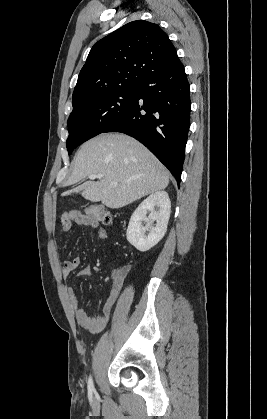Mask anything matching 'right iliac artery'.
<instances>
[{
  "label": "right iliac artery",
  "instance_id": "1",
  "mask_svg": "<svg viewBox=\"0 0 267 419\" xmlns=\"http://www.w3.org/2000/svg\"><path fill=\"white\" fill-rule=\"evenodd\" d=\"M93 391H94V385H93L92 377L90 376L89 379H88V393H89V395H92Z\"/></svg>",
  "mask_w": 267,
  "mask_h": 419
}]
</instances>
